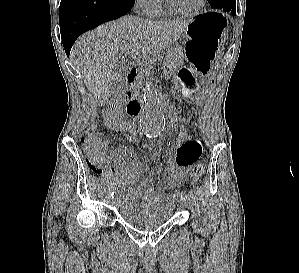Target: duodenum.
Instances as JSON below:
<instances>
[{
	"label": "duodenum",
	"mask_w": 299,
	"mask_h": 273,
	"mask_svg": "<svg viewBox=\"0 0 299 273\" xmlns=\"http://www.w3.org/2000/svg\"><path fill=\"white\" fill-rule=\"evenodd\" d=\"M136 75L137 69L132 68L127 75L128 91L124 97V105L126 111L130 116L133 117H137L142 109L141 101L137 98L134 91V82L136 79Z\"/></svg>",
	"instance_id": "obj_1"
}]
</instances>
